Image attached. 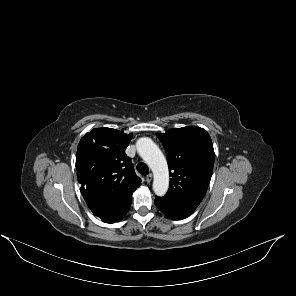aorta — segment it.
Returning a JSON list of instances; mask_svg holds the SVG:
<instances>
[{"instance_id": "obj_1", "label": "aorta", "mask_w": 296, "mask_h": 296, "mask_svg": "<svg viewBox=\"0 0 296 296\" xmlns=\"http://www.w3.org/2000/svg\"><path fill=\"white\" fill-rule=\"evenodd\" d=\"M136 147L139 155L153 171L154 193L157 196H164L169 187V171L166 158L150 138H140L136 143Z\"/></svg>"}]
</instances>
